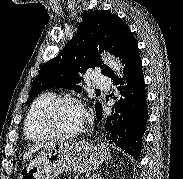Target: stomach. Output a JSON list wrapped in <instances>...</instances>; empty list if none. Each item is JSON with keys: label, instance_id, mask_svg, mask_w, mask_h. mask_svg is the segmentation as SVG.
<instances>
[{"label": "stomach", "instance_id": "stomach-1", "mask_svg": "<svg viewBox=\"0 0 183 179\" xmlns=\"http://www.w3.org/2000/svg\"><path fill=\"white\" fill-rule=\"evenodd\" d=\"M109 155L104 144L51 142L22 168L19 179H55L66 171L84 173L96 170Z\"/></svg>", "mask_w": 183, "mask_h": 179}]
</instances>
